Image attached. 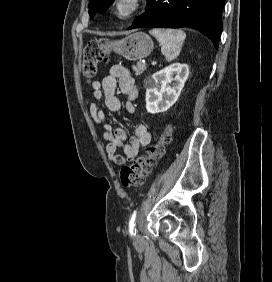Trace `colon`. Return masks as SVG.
I'll use <instances>...</instances> for the list:
<instances>
[{"label": "colon", "mask_w": 272, "mask_h": 282, "mask_svg": "<svg viewBox=\"0 0 272 282\" xmlns=\"http://www.w3.org/2000/svg\"><path fill=\"white\" fill-rule=\"evenodd\" d=\"M107 46L91 40L84 49L82 58L83 76L87 81L93 80L98 72V65L108 59ZM171 129L167 128L159 140L149 146L144 155L133 164L123 167L120 171L121 182L124 187H139L144 184L157 161L163 156L164 148L171 141Z\"/></svg>", "instance_id": "colon-1"}]
</instances>
